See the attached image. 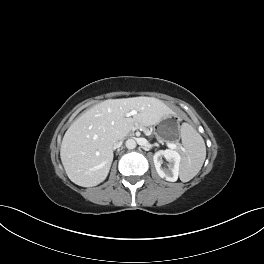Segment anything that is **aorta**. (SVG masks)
<instances>
[{
  "instance_id": "aorta-1",
  "label": "aorta",
  "mask_w": 264,
  "mask_h": 264,
  "mask_svg": "<svg viewBox=\"0 0 264 264\" xmlns=\"http://www.w3.org/2000/svg\"><path fill=\"white\" fill-rule=\"evenodd\" d=\"M125 145H126V147H127L128 149H134V148H136L137 143H136V141H135L134 139H128V140L126 141Z\"/></svg>"
}]
</instances>
